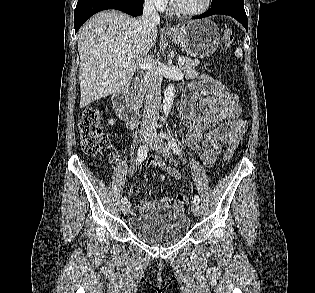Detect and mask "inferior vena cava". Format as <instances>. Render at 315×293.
Masks as SVG:
<instances>
[{
    "instance_id": "602c4592",
    "label": "inferior vena cava",
    "mask_w": 315,
    "mask_h": 293,
    "mask_svg": "<svg viewBox=\"0 0 315 293\" xmlns=\"http://www.w3.org/2000/svg\"><path fill=\"white\" fill-rule=\"evenodd\" d=\"M160 23V17L153 0H145L141 18V31L146 49L152 44V34ZM145 84V106L141 123V134L156 135L159 107L161 103V79L151 71L142 72Z\"/></svg>"
}]
</instances>
